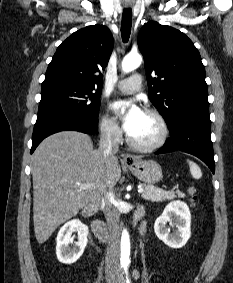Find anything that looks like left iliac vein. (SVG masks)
<instances>
[{
  "label": "left iliac vein",
  "mask_w": 233,
  "mask_h": 283,
  "mask_svg": "<svg viewBox=\"0 0 233 283\" xmlns=\"http://www.w3.org/2000/svg\"><path fill=\"white\" fill-rule=\"evenodd\" d=\"M118 283H126L122 274L118 275Z\"/></svg>",
  "instance_id": "4c4485c4"
}]
</instances>
